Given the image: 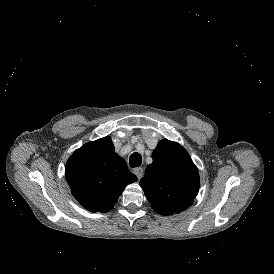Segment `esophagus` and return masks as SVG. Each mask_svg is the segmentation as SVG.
<instances>
[{
  "instance_id": "esophagus-1",
  "label": "esophagus",
  "mask_w": 274,
  "mask_h": 274,
  "mask_svg": "<svg viewBox=\"0 0 274 274\" xmlns=\"http://www.w3.org/2000/svg\"><path fill=\"white\" fill-rule=\"evenodd\" d=\"M133 173L137 176L138 179H141L144 173V170L142 167H137L133 169Z\"/></svg>"
}]
</instances>
